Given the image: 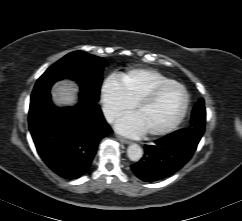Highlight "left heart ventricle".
<instances>
[{
    "label": "left heart ventricle",
    "mask_w": 242,
    "mask_h": 221,
    "mask_svg": "<svg viewBox=\"0 0 242 221\" xmlns=\"http://www.w3.org/2000/svg\"><path fill=\"white\" fill-rule=\"evenodd\" d=\"M183 103L182 89L170 86L161 91L152 103L134 114L143 125L145 133L158 131L168 126L178 116Z\"/></svg>",
    "instance_id": "b2bd125f"
}]
</instances>
